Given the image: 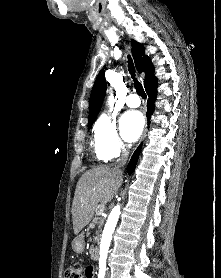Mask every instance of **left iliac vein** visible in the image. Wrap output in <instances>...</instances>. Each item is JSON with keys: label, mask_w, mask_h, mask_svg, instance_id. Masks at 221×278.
I'll return each instance as SVG.
<instances>
[{"label": "left iliac vein", "mask_w": 221, "mask_h": 278, "mask_svg": "<svg viewBox=\"0 0 221 278\" xmlns=\"http://www.w3.org/2000/svg\"><path fill=\"white\" fill-rule=\"evenodd\" d=\"M106 278H110V274L109 273L106 274Z\"/></svg>", "instance_id": "4c4485c4"}]
</instances>
